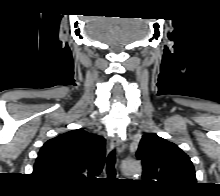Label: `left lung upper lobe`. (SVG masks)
I'll list each match as a JSON object with an SVG mask.
<instances>
[{"label":"left lung upper lobe","instance_id":"5c2ea615","mask_svg":"<svg viewBox=\"0 0 220 196\" xmlns=\"http://www.w3.org/2000/svg\"><path fill=\"white\" fill-rule=\"evenodd\" d=\"M136 157L142 161L143 181L162 193H180L196 184L190 158L154 133L142 136Z\"/></svg>","mask_w":220,"mask_h":196}]
</instances>
